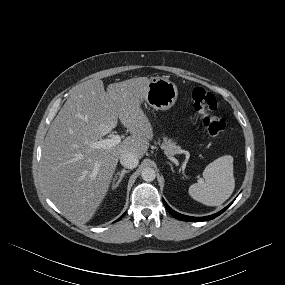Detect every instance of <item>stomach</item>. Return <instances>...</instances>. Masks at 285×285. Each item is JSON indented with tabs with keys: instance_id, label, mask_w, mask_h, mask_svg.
<instances>
[{
	"instance_id": "1",
	"label": "stomach",
	"mask_w": 285,
	"mask_h": 285,
	"mask_svg": "<svg viewBox=\"0 0 285 285\" xmlns=\"http://www.w3.org/2000/svg\"><path fill=\"white\" fill-rule=\"evenodd\" d=\"M177 86L163 77H152L140 93V101L147 103L156 110H168L177 100Z\"/></svg>"
}]
</instances>
